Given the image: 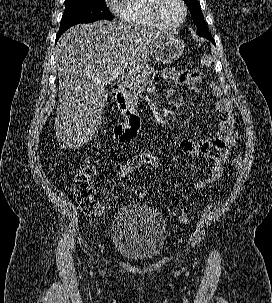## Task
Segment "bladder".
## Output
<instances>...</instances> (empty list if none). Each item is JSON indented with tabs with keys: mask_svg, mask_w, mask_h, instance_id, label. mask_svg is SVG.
<instances>
[{
	"mask_svg": "<svg viewBox=\"0 0 272 303\" xmlns=\"http://www.w3.org/2000/svg\"><path fill=\"white\" fill-rule=\"evenodd\" d=\"M111 237L121 257L133 262H149L164 249L166 223L156 209L144 204H128L115 213Z\"/></svg>",
	"mask_w": 272,
	"mask_h": 303,
	"instance_id": "31cf9c89",
	"label": "bladder"
}]
</instances>
